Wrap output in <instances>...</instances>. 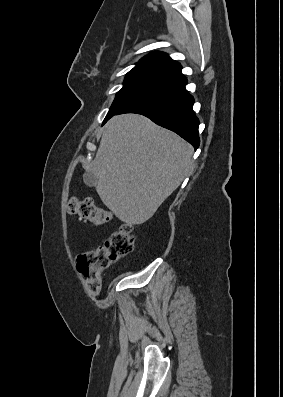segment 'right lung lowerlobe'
<instances>
[{"label":"right lung lower lobe","mask_w":283,"mask_h":397,"mask_svg":"<svg viewBox=\"0 0 283 397\" xmlns=\"http://www.w3.org/2000/svg\"><path fill=\"white\" fill-rule=\"evenodd\" d=\"M187 79L172 84L125 107L118 114L137 113L156 124L174 131L199 147V120L193 111L194 98L185 89Z\"/></svg>","instance_id":"obj_1"}]
</instances>
